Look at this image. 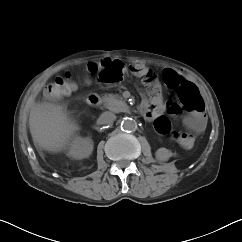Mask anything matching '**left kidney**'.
<instances>
[{
	"label": "left kidney",
	"mask_w": 242,
	"mask_h": 242,
	"mask_svg": "<svg viewBox=\"0 0 242 242\" xmlns=\"http://www.w3.org/2000/svg\"><path fill=\"white\" fill-rule=\"evenodd\" d=\"M155 156L158 161H167L172 156V153L166 148H159Z\"/></svg>",
	"instance_id": "obj_1"
}]
</instances>
